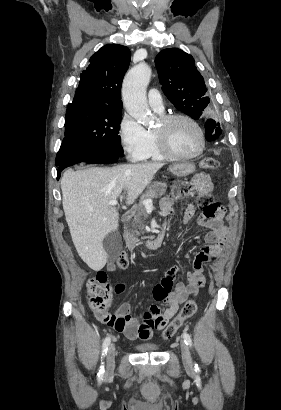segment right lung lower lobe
I'll return each instance as SVG.
<instances>
[{
	"instance_id": "98d812e1",
	"label": "right lung lower lobe",
	"mask_w": 281,
	"mask_h": 410,
	"mask_svg": "<svg viewBox=\"0 0 281 410\" xmlns=\"http://www.w3.org/2000/svg\"><path fill=\"white\" fill-rule=\"evenodd\" d=\"M119 156L116 155H94V156H76L69 159H66L62 163L57 166V179L60 178V172L74 164L80 162H86L89 164H107V163H114L118 160Z\"/></svg>"
}]
</instances>
